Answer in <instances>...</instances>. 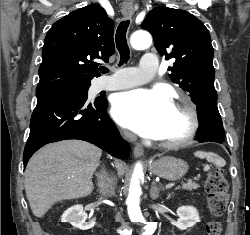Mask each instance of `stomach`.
<instances>
[{"mask_svg": "<svg viewBox=\"0 0 250 235\" xmlns=\"http://www.w3.org/2000/svg\"><path fill=\"white\" fill-rule=\"evenodd\" d=\"M150 170L157 176L173 181L182 178L188 171V164L172 156L162 157L150 165Z\"/></svg>", "mask_w": 250, "mask_h": 235, "instance_id": "1", "label": "stomach"}]
</instances>
